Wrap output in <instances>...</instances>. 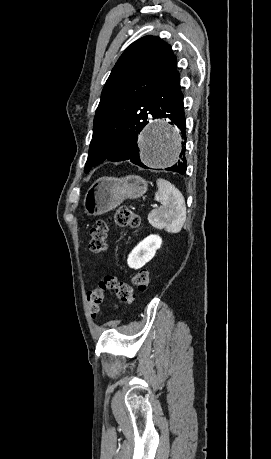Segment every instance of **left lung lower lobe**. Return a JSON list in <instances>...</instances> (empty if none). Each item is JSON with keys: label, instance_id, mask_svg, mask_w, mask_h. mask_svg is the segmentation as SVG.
<instances>
[{"label": "left lung lower lobe", "instance_id": "0a47b994", "mask_svg": "<svg viewBox=\"0 0 271 459\" xmlns=\"http://www.w3.org/2000/svg\"><path fill=\"white\" fill-rule=\"evenodd\" d=\"M151 106L140 118L132 120L123 127L114 137L113 150L105 159L112 162L129 160L132 163L145 166L139 158L137 146L138 133L149 123V117L153 119L169 118L185 136V115L183 106V94L180 87V74L178 71L163 79L150 93ZM183 146V143H182ZM185 148L180 153L181 161L165 170L185 174L186 159Z\"/></svg>", "mask_w": 271, "mask_h": 459}]
</instances>
